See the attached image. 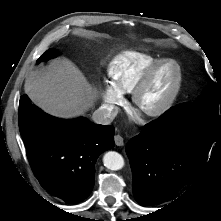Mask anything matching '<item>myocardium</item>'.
Returning <instances> with one entry per match:
<instances>
[{
    "label": "myocardium",
    "mask_w": 221,
    "mask_h": 221,
    "mask_svg": "<svg viewBox=\"0 0 221 221\" xmlns=\"http://www.w3.org/2000/svg\"><path fill=\"white\" fill-rule=\"evenodd\" d=\"M172 65L175 70V80L170 94L159 104L152 107H145L142 104V97L151 85L156 72L164 65ZM183 84L182 67L178 61L171 58H163L153 63L146 71L142 79L132 91V100L134 105L144 114L157 117L166 113L177 100Z\"/></svg>",
    "instance_id": "f54148a6"
}]
</instances>
